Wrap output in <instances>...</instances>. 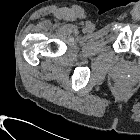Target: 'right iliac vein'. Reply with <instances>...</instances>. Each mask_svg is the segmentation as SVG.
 I'll return each mask as SVG.
<instances>
[{
  "label": "right iliac vein",
  "instance_id": "1",
  "mask_svg": "<svg viewBox=\"0 0 140 140\" xmlns=\"http://www.w3.org/2000/svg\"><path fill=\"white\" fill-rule=\"evenodd\" d=\"M93 29V25L92 24H88L87 26H86V30L87 31H91Z\"/></svg>",
  "mask_w": 140,
  "mask_h": 140
}]
</instances>
